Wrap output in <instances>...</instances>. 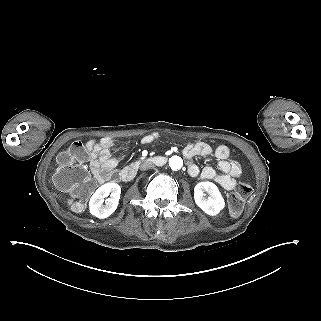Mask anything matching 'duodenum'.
I'll use <instances>...</instances> for the list:
<instances>
[{
	"label": "duodenum",
	"mask_w": 321,
	"mask_h": 321,
	"mask_svg": "<svg viewBox=\"0 0 321 321\" xmlns=\"http://www.w3.org/2000/svg\"><path fill=\"white\" fill-rule=\"evenodd\" d=\"M166 161L167 159L164 156H153L143 159L142 161L134 162L122 170L120 175L121 179L125 182L131 181L135 177L141 162L162 166L166 163Z\"/></svg>",
	"instance_id": "duodenum-1"
}]
</instances>
